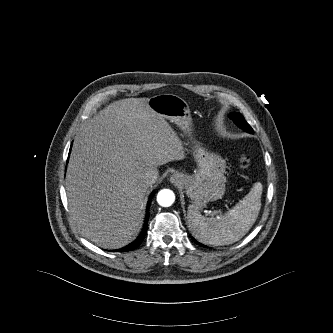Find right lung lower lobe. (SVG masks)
Listing matches in <instances>:
<instances>
[{"instance_id": "right-lung-lower-lobe-1", "label": "right lung lower lobe", "mask_w": 333, "mask_h": 333, "mask_svg": "<svg viewBox=\"0 0 333 333\" xmlns=\"http://www.w3.org/2000/svg\"><path fill=\"white\" fill-rule=\"evenodd\" d=\"M154 193H152L151 197H150V200L148 202V205H147V215H146V219H145V223H144V227H143V230L140 234V236L132 243H130L129 245H127L126 247L122 248V249H118V250H115V251H118V252H126V251H131L135 248H137L139 246V244L142 242V240L144 239L145 237V234H146V230H147V222H148V218H149V207H150V203H151V198L153 197Z\"/></svg>"}]
</instances>
